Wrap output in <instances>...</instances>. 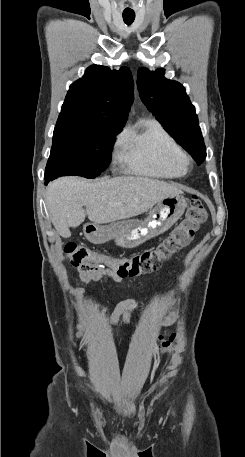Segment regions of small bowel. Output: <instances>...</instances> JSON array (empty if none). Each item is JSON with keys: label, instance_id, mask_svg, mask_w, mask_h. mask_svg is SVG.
Listing matches in <instances>:
<instances>
[{"label": "small bowel", "instance_id": "c3829d8e", "mask_svg": "<svg viewBox=\"0 0 245 457\" xmlns=\"http://www.w3.org/2000/svg\"><path fill=\"white\" fill-rule=\"evenodd\" d=\"M189 241V240H188ZM104 277H109L115 282H122L123 278L119 277L113 270L108 269V268H101V269H89L86 271H82L78 277L79 279V285L76 287L75 291L78 294H81L83 292L82 285L85 283H88L90 281H98L101 280ZM136 307V301L132 298L125 299L121 301L113 316H112V322L115 325H127L130 323V318H131V313ZM176 316L175 313H171L168 316H166L163 321L162 325L163 326H168L173 323L175 320ZM81 334H86L90 338H95V334L93 332H88L84 329L81 330Z\"/></svg>", "mask_w": 245, "mask_h": 457}]
</instances>
